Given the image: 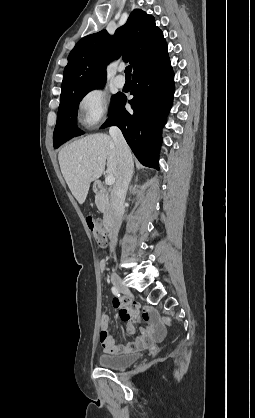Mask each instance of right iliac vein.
Instances as JSON below:
<instances>
[{
  "label": "right iliac vein",
  "instance_id": "1",
  "mask_svg": "<svg viewBox=\"0 0 255 418\" xmlns=\"http://www.w3.org/2000/svg\"><path fill=\"white\" fill-rule=\"evenodd\" d=\"M111 281L113 283V285L121 292L128 294L130 291L129 289L124 285L122 279L120 278V276L113 272L111 274Z\"/></svg>",
  "mask_w": 255,
  "mask_h": 418
}]
</instances>
